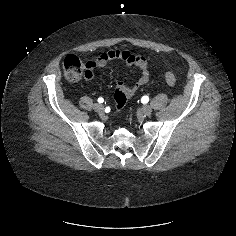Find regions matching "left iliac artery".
I'll return each instance as SVG.
<instances>
[{
    "label": "left iliac artery",
    "mask_w": 236,
    "mask_h": 236,
    "mask_svg": "<svg viewBox=\"0 0 236 236\" xmlns=\"http://www.w3.org/2000/svg\"><path fill=\"white\" fill-rule=\"evenodd\" d=\"M142 101L145 102V103L148 102L149 101V97L148 96H143L142 97Z\"/></svg>",
    "instance_id": "44dca946"
}]
</instances>
